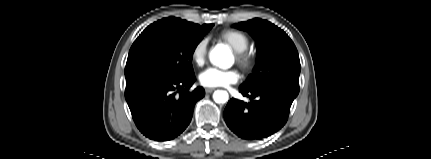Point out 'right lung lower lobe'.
<instances>
[{
  "mask_svg": "<svg viewBox=\"0 0 431 159\" xmlns=\"http://www.w3.org/2000/svg\"><path fill=\"white\" fill-rule=\"evenodd\" d=\"M195 80V76L178 78L149 72L126 81L125 98L143 135L154 141H169L187 128L196 102L205 95L202 87L188 91Z\"/></svg>",
  "mask_w": 431,
  "mask_h": 159,
  "instance_id": "obj_1",
  "label": "right lung lower lobe"
}]
</instances>
